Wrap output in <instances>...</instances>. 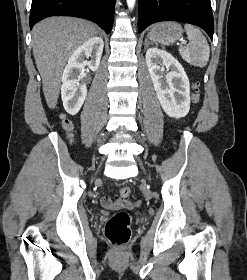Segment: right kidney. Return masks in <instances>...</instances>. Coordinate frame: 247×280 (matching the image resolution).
Segmentation results:
<instances>
[{
	"instance_id": "obj_1",
	"label": "right kidney",
	"mask_w": 247,
	"mask_h": 280,
	"mask_svg": "<svg viewBox=\"0 0 247 280\" xmlns=\"http://www.w3.org/2000/svg\"><path fill=\"white\" fill-rule=\"evenodd\" d=\"M103 47L104 42L100 37H92L71 54L63 72L61 86V97L67 113L75 115L81 109L87 96L86 84H79L81 72L86 66L92 71L98 69ZM85 57H91V60L86 61Z\"/></svg>"
}]
</instances>
